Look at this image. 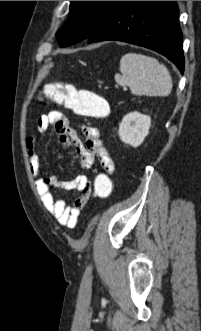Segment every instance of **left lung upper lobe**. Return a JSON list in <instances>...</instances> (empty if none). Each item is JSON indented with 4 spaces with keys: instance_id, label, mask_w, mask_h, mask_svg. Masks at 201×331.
I'll return each mask as SVG.
<instances>
[{
    "instance_id": "5c2ea615",
    "label": "left lung upper lobe",
    "mask_w": 201,
    "mask_h": 331,
    "mask_svg": "<svg viewBox=\"0 0 201 331\" xmlns=\"http://www.w3.org/2000/svg\"><path fill=\"white\" fill-rule=\"evenodd\" d=\"M120 1H71L70 14L56 36L61 46L87 39Z\"/></svg>"
}]
</instances>
